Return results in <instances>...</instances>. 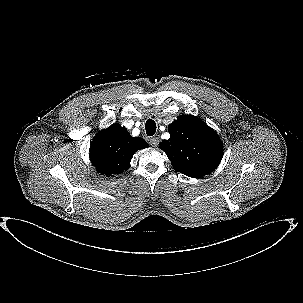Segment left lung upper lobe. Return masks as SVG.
<instances>
[{"label": "left lung upper lobe", "mask_w": 303, "mask_h": 303, "mask_svg": "<svg viewBox=\"0 0 303 303\" xmlns=\"http://www.w3.org/2000/svg\"><path fill=\"white\" fill-rule=\"evenodd\" d=\"M170 138L160 148L173 168L189 177L201 178L219 165L223 146L217 133L200 118L182 115L168 126Z\"/></svg>", "instance_id": "5c2ea615"}]
</instances>
